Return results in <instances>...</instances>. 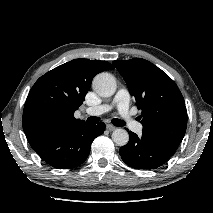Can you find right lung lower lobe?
Masks as SVG:
<instances>
[{
  "mask_svg": "<svg viewBox=\"0 0 213 213\" xmlns=\"http://www.w3.org/2000/svg\"><path fill=\"white\" fill-rule=\"evenodd\" d=\"M105 130L98 125L83 123L60 133L33 131L26 133L34 151L57 169H70L82 164L88 157L93 140Z\"/></svg>",
  "mask_w": 213,
  "mask_h": 213,
  "instance_id": "right-lung-lower-lobe-1",
  "label": "right lung lower lobe"
}]
</instances>
